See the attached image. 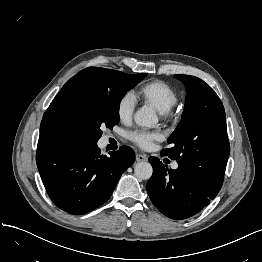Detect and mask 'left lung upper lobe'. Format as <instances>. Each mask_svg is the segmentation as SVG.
I'll list each match as a JSON object with an SVG mask.
<instances>
[{
    "label": "left lung upper lobe",
    "mask_w": 262,
    "mask_h": 262,
    "mask_svg": "<svg viewBox=\"0 0 262 262\" xmlns=\"http://www.w3.org/2000/svg\"><path fill=\"white\" fill-rule=\"evenodd\" d=\"M186 86L182 119L162 151L211 192L221 189L230 145L223 104L200 78L175 75Z\"/></svg>",
    "instance_id": "5c2ea615"
}]
</instances>
